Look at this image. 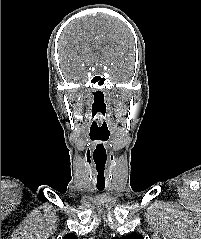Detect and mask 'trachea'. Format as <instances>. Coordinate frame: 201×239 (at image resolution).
Returning <instances> with one entry per match:
<instances>
[{
  "mask_svg": "<svg viewBox=\"0 0 201 239\" xmlns=\"http://www.w3.org/2000/svg\"><path fill=\"white\" fill-rule=\"evenodd\" d=\"M97 188L99 191H102V190H104L105 186H97Z\"/></svg>",
  "mask_w": 201,
  "mask_h": 239,
  "instance_id": "1",
  "label": "trachea"
}]
</instances>
